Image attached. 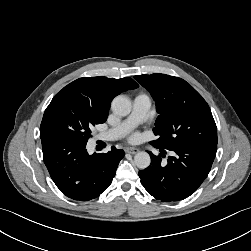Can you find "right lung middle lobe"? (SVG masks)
<instances>
[{
    "label": "right lung middle lobe",
    "mask_w": 251,
    "mask_h": 251,
    "mask_svg": "<svg viewBox=\"0 0 251 251\" xmlns=\"http://www.w3.org/2000/svg\"><path fill=\"white\" fill-rule=\"evenodd\" d=\"M105 119L98 116L88 105L75 97L62 94L55 96L45 110L40 137L66 138L86 144L91 137V128Z\"/></svg>",
    "instance_id": "obj_1"
}]
</instances>
